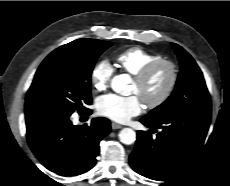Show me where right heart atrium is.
<instances>
[{"label":"right heart atrium","mask_w":230,"mask_h":186,"mask_svg":"<svg viewBox=\"0 0 230 186\" xmlns=\"http://www.w3.org/2000/svg\"><path fill=\"white\" fill-rule=\"evenodd\" d=\"M113 75V67L106 60L98 61L92 68L90 79L95 90L102 91L107 88Z\"/></svg>","instance_id":"d8ad5b80"}]
</instances>
